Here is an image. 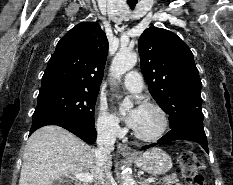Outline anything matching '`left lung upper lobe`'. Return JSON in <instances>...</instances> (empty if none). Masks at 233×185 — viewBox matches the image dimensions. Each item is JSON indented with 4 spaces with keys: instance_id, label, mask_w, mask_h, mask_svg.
Returning a JSON list of instances; mask_svg holds the SVG:
<instances>
[{
    "instance_id": "obj_1",
    "label": "left lung upper lobe",
    "mask_w": 233,
    "mask_h": 185,
    "mask_svg": "<svg viewBox=\"0 0 233 185\" xmlns=\"http://www.w3.org/2000/svg\"><path fill=\"white\" fill-rule=\"evenodd\" d=\"M138 50L149 91L169 115L170 128L202 114L201 80L189 47L175 33L152 26L140 36Z\"/></svg>"
}]
</instances>
